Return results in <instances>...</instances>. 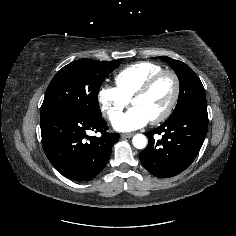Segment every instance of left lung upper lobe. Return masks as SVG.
<instances>
[{"mask_svg": "<svg viewBox=\"0 0 236 236\" xmlns=\"http://www.w3.org/2000/svg\"><path fill=\"white\" fill-rule=\"evenodd\" d=\"M159 59L165 61L174 69L180 83L177 105L167 120L179 116L191 107L206 105V95L202 82L188 65L166 56H160Z\"/></svg>", "mask_w": 236, "mask_h": 236, "instance_id": "left-lung-upper-lobe-1", "label": "left lung upper lobe"}]
</instances>
